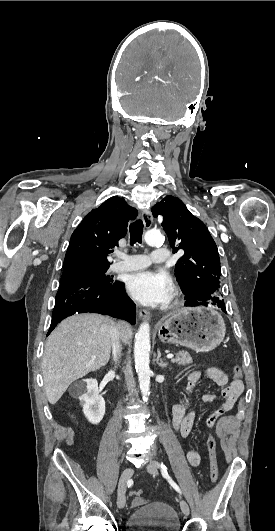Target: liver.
I'll return each instance as SVG.
<instances>
[{"label":"liver","mask_w":275,"mask_h":531,"mask_svg":"<svg viewBox=\"0 0 275 531\" xmlns=\"http://www.w3.org/2000/svg\"><path fill=\"white\" fill-rule=\"evenodd\" d=\"M111 323L109 317L84 313L68 317L49 335L42 371L50 405H56L73 381L107 365L112 347ZM118 327L122 341L127 343L132 337L130 325L119 321Z\"/></svg>","instance_id":"6515ba94"}]
</instances>
